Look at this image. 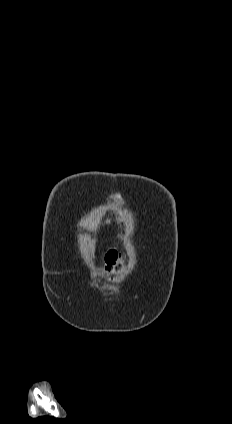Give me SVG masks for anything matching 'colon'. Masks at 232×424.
<instances>
[{
    "label": "colon",
    "instance_id": "colon-1",
    "mask_svg": "<svg viewBox=\"0 0 232 424\" xmlns=\"http://www.w3.org/2000/svg\"><path fill=\"white\" fill-rule=\"evenodd\" d=\"M106 270L111 274H118L124 268L122 256L115 250L108 251L105 255Z\"/></svg>",
    "mask_w": 232,
    "mask_h": 424
}]
</instances>
